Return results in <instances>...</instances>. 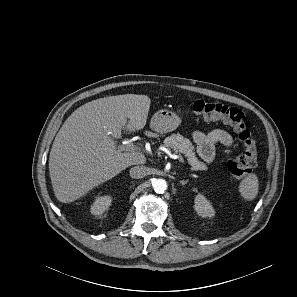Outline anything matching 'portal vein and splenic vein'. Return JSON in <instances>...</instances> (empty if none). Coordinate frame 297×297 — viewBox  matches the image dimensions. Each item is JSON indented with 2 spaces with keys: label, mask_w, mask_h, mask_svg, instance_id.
Wrapping results in <instances>:
<instances>
[{
  "label": "portal vein and splenic vein",
  "mask_w": 297,
  "mask_h": 297,
  "mask_svg": "<svg viewBox=\"0 0 297 297\" xmlns=\"http://www.w3.org/2000/svg\"><path fill=\"white\" fill-rule=\"evenodd\" d=\"M117 149L120 152L122 151H130V152H137V153L142 152L141 148H139L138 146L128 141L123 142V144L118 146ZM169 157L172 159H178L181 163H184V159L182 158L181 155L170 154Z\"/></svg>",
  "instance_id": "portal-vein-and-splenic-vein-1"
}]
</instances>
